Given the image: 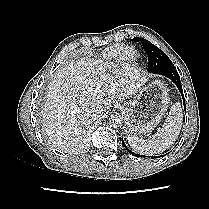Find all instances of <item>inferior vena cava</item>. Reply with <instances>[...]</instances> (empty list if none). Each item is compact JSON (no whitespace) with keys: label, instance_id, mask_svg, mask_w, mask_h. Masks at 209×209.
I'll return each instance as SVG.
<instances>
[{"label":"inferior vena cava","instance_id":"inferior-vena-cava-1","mask_svg":"<svg viewBox=\"0 0 209 209\" xmlns=\"http://www.w3.org/2000/svg\"><path fill=\"white\" fill-rule=\"evenodd\" d=\"M101 114H102V111L100 109L93 110L94 117H99Z\"/></svg>","mask_w":209,"mask_h":209}]
</instances>
